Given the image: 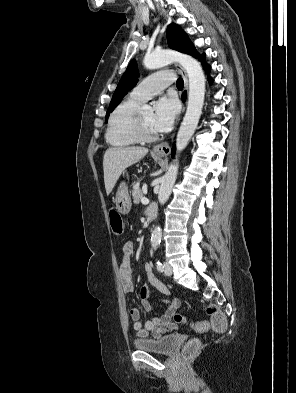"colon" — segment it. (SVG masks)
Returning a JSON list of instances; mask_svg holds the SVG:
<instances>
[{"instance_id": "colon-1", "label": "colon", "mask_w": 296, "mask_h": 393, "mask_svg": "<svg viewBox=\"0 0 296 393\" xmlns=\"http://www.w3.org/2000/svg\"><path fill=\"white\" fill-rule=\"evenodd\" d=\"M109 220L113 233L121 236L124 233V224L121 216L115 209H110ZM206 312L211 316V327L217 333H222L227 328V319L225 314L216 306L208 305ZM174 319L178 323H186L187 320L180 314H174ZM192 328L199 332L207 331L210 327L207 322H195L191 324ZM200 348V343L197 340L188 342L183 348V355L185 358L194 356Z\"/></svg>"}]
</instances>
